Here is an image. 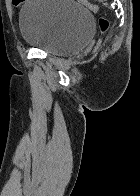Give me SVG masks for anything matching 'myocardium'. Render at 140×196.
<instances>
[{
    "instance_id": "1",
    "label": "myocardium",
    "mask_w": 140,
    "mask_h": 196,
    "mask_svg": "<svg viewBox=\"0 0 140 196\" xmlns=\"http://www.w3.org/2000/svg\"><path fill=\"white\" fill-rule=\"evenodd\" d=\"M36 192H45V191H36ZM57 192H65V191H57Z\"/></svg>"
}]
</instances>
